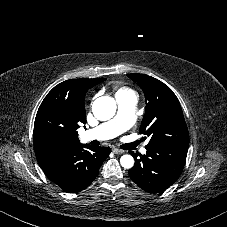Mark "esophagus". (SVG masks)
<instances>
[{"label": "esophagus", "mask_w": 227, "mask_h": 227, "mask_svg": "<svg viewBox=\"0 0 227 227\" xmlns=\"http://www.w3.org/2000/svg\"><path fill=\"white\" fill-rule=\"evenodd\" d=\"M112 151H113L115 154H123V153H124V150L119 149V148H113Z\"/></svg>", "instance_id": "obj_1"}]
</instances>
